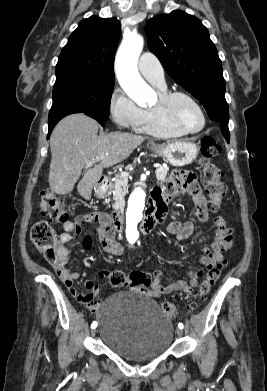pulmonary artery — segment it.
Wrapping results in <instances>:
<instances>
[{"instance_id":"1","label":"pulmonary artery","mask_w":267,"mask_h":391,"mask_svg":"<svg viewBox=\"0 0 267 391\" xmlns=\"http://www.w3.org/2000/svg\"><path fill=\"white\" fill-rule=\"evenodd\" d=\"M138 68L143 77L152 85L157 88H165L164 69L154 54L143 53L139 58Z\"/></svg>"}]
</instances>
